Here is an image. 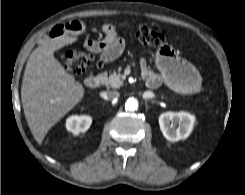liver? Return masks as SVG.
<instances>
[{
    "label": "liver",
    "instance_id": "obj_1",
    "mask_svg": "<svg viewBox=\"0 0 245 195\" xmlns=\"http://www.w3.org/2000/svg\"><path fill=\"white\" fill-rule=\"evenodd\" d=\"M76 40L64 35L52 38L37 47L27 61L21 101L27 124L38 144L84 97L83 85L54 57L56 50Z\"/></svg>",
    "mask_w": 245,
    "mask_h": 195
}]
</instances>
